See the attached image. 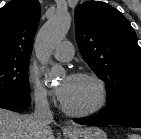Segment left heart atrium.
Masks as SVG:
<instances>
[{"label": "left heart atrium", "mask_w": 141, "mask_h": 139, "mask_svg": "<svg viewBox=\"0 0 141 139\" xmlns=\"http://www.w3.org/2000/svg\"><path fill=\"white\" fill-rule=\"evenodd\" d=\"M67 90H68V80H65L62 84H60L56 88V94L61 101H63L65 99L66 94H67Z\"/></svg>", "instance_id": "obj_1"}]
</instances>
